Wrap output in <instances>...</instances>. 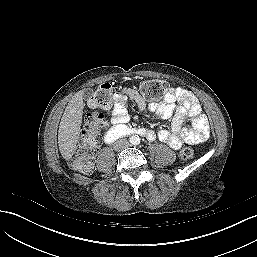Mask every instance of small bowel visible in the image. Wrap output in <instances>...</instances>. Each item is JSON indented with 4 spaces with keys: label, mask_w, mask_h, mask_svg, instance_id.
<instances>
[{
    "label": "small bowel",
    "mask_w": 257,
    "mask_h": 257,
    "mask_svg": "<svg viewBox=\"0 0 257 257\" xmlns=\"http://www.w3.org/2000/svg\"><path fill=\"white\" fill-rule=\"evenodd\" d=\"M128 98L140 111H150L164 119L172 117L170 130L162 129L157 134L154 131L147 132V138L150 140L157 136L171 148L180 149L184 144L203 142L209 136L208 120L202 113L198 100L191 92L181 87L170 88L160 103L152 105H147L138 91L130 88L122 89L115 94L114 108L110 121L105 124V130L110 126L124 125L129 121ZM186 117L191 121V128L183 127Z\"/></svg>",
    "instance_id": "obj_1"
}]
</instances>
